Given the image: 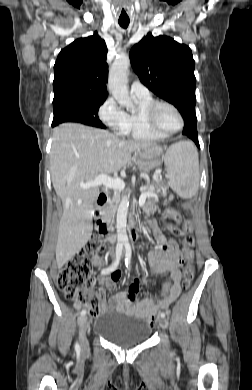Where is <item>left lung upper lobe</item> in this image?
<instances>
[{"instance_id": "obj_1", "label": "left lung upper lobe", "mask_w": 252, "mask_h": 390, "mask_svg": "<svg viewBox=\"0 0 252 390\" xmlns=\"http://www.w3.org/2000/svg\"><path fill=\"white\" fill-rule=\"evenodd\" d=\"M132 67L140 81L160 98L173 104L183 119L196 117L195 62L191 49L168 36L148 33L130 51Z\"/></svg>"}]
</instances>
